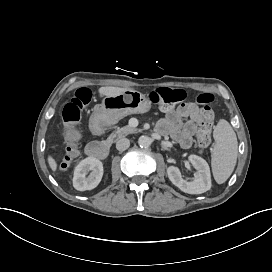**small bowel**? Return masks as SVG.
<instances>
[{
    "mask_svg": "<svg viewBox=\"0 0 272 272\" xmlns=\"http://www.w3.org/2000/svg\"><path fill=\"white\" fill-rule=\"evenodd\" d=\"M165 117L159 120L155 126L156 133L169 135L183 148H190L193 136L202 128L198 125L201 115L198 105L194 102H183L173 109L163 107Z\"/></svg>",
    "mask_w": 272,
    "mask_h": 272,
    "instance_id": "1",
    "label": "small bowel"
}]
</instances>
